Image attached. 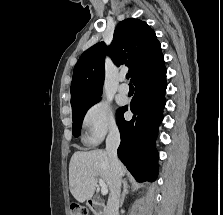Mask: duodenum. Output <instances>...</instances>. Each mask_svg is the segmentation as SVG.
<instances>
[{
  "mask_svg": "<svg viewBox=\"0 0 223 215\" xmlns=\"http://www.w3.org/2000/svg\"><path fill=\"white\" fill-rule=\"evenodd\" d=\"M87 204L92 215H106L105 205L102 200L89 199Z\"/></svg>",
  "mask_w": 223,
  "mask_h": 215,
  "instance_id": "1",
  "label": "duodenum"
}]
</instances>
